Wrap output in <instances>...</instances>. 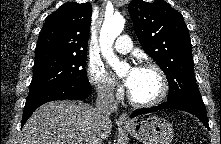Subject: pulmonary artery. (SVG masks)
Wrapping results in <instances>:
<instances>
[{"label": "pulmonary artery", "mask_w": 221, "mask_h": 144, "mask_svg": "<svg viewBox=\"0 0 221 144\" xmlns=\"http://www.w3.org/2000/svg\"><path fill=\"white\" fill-rule=\"evenodd\" d=\"M114 47L118 52L125 54L131 51L132 41L128 35H121L117 38Z\"/></svg>", "instance_id": "1"}]
</instances>
